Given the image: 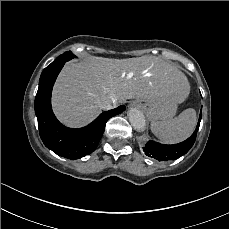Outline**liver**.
I'll return each mask as SVG.
<instances>
[{
  "mask_svg": "<svg viewBox=\"0 0 229 229\" xmlns=\"http://www.w3.org/2000/svg\"><path fill=\"white\" fill-rule=\"evenodd\" d=\"M190 92L185 74L156 56L109 59L89 56L68 62L54 85L52 106L57 118L79 127L101 113L105 101L127 99L181 102Z\"/></svg>",
  "mask_w": 229,
  "mask_h": 229,
  "instance_id": "liver-1",
  "label": "liver"
}]
</instances>
